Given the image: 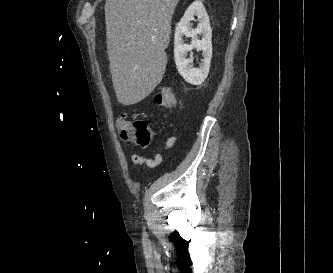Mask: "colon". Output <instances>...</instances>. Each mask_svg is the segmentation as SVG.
I'll list each match as a JSON object with an SVG mask.
<instances>
[{
  "label": "colon",
  "mask_w": 333,
  "mask_h": 273,
  "mask_svg": "<svg viewBox=\"0 0 333 273\" xmlns=\"http://www.w3.org/2000/svg\"><path fill=\"white\" fill-rule=\"evenodd\" d=\"M155 101L159 106L172 108L175 104V95L170 86H163L155 95ZM116 128L120 137L133 146L146 147L153 137L148 124L141 119L130 120L126 114H121L116 121Z\"/></svg>",
  "instance_id": "1"
}]
</instances>
